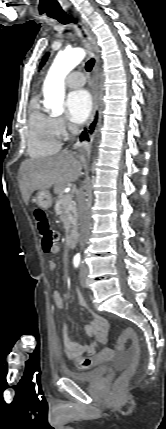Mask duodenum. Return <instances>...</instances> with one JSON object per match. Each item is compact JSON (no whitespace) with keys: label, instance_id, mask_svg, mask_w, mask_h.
Masks as SVG:
<instances>
[{"label":"duodenum","instance_id":"duodenum-1","mask_svg":"<svg viewBox=\"0 0 166 429\" xmlns=\"http://www.w3.org/2000/svg\"><path fill=\"white\" fill-rule=\"evenodd\" d=\"M76 238L77 234L76 232H71L68 236V245L70 248H74L76 245Z\"/></svg>","mask_w":166,"mask_h":429}]
</instances>
